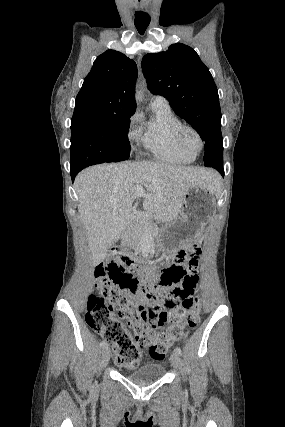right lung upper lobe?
Wrapping results in <instances>:
<instances>
[{
  "label": "right lung upper lobe",
  "instance_id": "1",
  "mask_svg": "<svg viewBox=\"0 0 285 427\" xmlns=\"http://www.w3.org/2000/svg\"><path fill=\"white\" fill-rule=\"evenodd\" d=\"M137 65L124 54L107 50L94 61L76 97L71 122L131 116L136 110Z\"/></svg>",
  "mask_w": 285,
  "mask_h": 427
}]
</instances>
